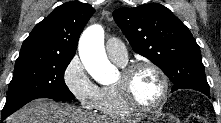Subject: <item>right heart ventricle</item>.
Instances as JSON below:
<instances>
[{
	"label": "right heart ventricle",
	"instance_id": "right-heart-ventricle-1",
	"mask_svg": "<svg viewBox=\"0 0 221 123\" xmlns=\"http://www.w3.org/2000/svg\"><path fill=\"white\" fill-rule=\"evenodd\" d=\"M99 113L109 118H124L130 116V110L122 101L115 86H104L100 88Z\"/></svg>",
	"mask_w": 221,
	"mask_h": 123
}]
</instances>
